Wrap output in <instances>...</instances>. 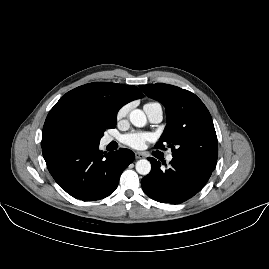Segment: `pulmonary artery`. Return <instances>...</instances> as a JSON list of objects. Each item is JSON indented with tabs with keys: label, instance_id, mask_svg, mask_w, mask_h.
<instances>
[{
	"label": "pulmonary artery",
	"instance_id": "e3ab8cb5",
	"mask_svg": "<svg viewBox=\"0 0 269 269\" xmlns=\"http://www.w3.org/2000/svg\"><path fill=\"white\" fill-rule=\"evenodd\" d=\"M144 112L149 120V122L156 124L162 121L163 119V108L159 103L148 104L144 107ZM112 139L107 138L105 143H109ZM172 154H168L166 160L168 162L172 161Z\"/></svg>",
	"mask_w": 269,
	"mask_h": 269
}]
</instances>
